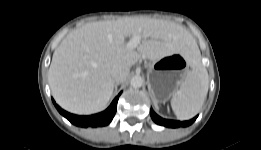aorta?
Instances as JSON below:
<instances>
[{
  "mask_svg": "<svg viewBox=\"0 0 261 150\" xmlns=\"http://www.w3.org/2000/svg\"><path fill=\"white\" fill-rule=\"evenodd\" d=\"M130 84L133 88H140L143 85V78L139 75L133 76Z\"/></svg>",
  "mask_w": 261,
  "mask_h": 150,
  "instance_id": "obj_1",
  "label": "aorta"
}]
</instances>
